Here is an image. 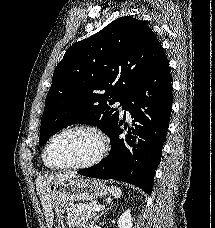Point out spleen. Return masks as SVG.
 I'll use <instances>...</instances> for the list:
<instances>
[{
	"mask_svg": "<svg viewBox=\"0 0 215 228\" xmlns=\"http://www.w3.org/2000/svg\"><path fill=\"white\" fill-rule=\"evenodd\" d=\"M108 192H110L112 196H115V198H121L122 196V190H120V188H116V186H110V188H108Z\"/></svg>",
	"mask_w": 215,
	"mask_h": 228,
	"instance_id": "1",
	"label": "spleen"
}]
</instances>
